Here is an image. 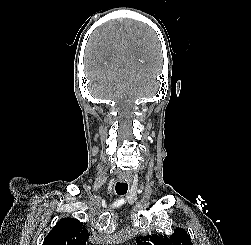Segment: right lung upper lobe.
<instances>
[{"label": "right lung upper lobe", "mask_w": 251, "mask_h": 245, "mask_svg": "<svg viewBox=\"0 0 251 245\" xmlns=\"http://www.w3.org/2000/svg\"><path fill=\"white\" fill-rule=\"evenodd\" d=\"M89 234L82 222L63 218L44 239L43 245H86Z\"/></svg>", "instance_id": "right-lung-upper-lobe-1"}]
</instances>
